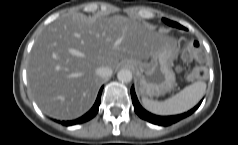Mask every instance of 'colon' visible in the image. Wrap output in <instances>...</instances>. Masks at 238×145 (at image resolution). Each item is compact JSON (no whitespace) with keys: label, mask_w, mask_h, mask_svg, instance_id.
<instances>
[{"label":"colon","mask_w":238,"mask_h":145,"mask_svg":"<svg viewBox=\"0 0 238 145\" xmlns=\"http://www.w3.org/2000/svg\"><path fill=\"white\" fill-rule=\"evenodd\" d=\"M204 50L202 45L197 40L190 41L184 48L183 57L189 61L201 62L204 60ZM207 77V70L204 67L195 68L189 78L191 80H202Z\"/></svg>","instance_id":"5ec220e1"}]
</instances>
